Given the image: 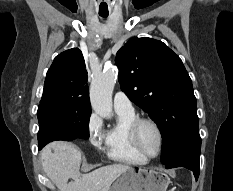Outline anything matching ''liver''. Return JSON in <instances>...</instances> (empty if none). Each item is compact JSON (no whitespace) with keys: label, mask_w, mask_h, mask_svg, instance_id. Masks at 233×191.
Returning <instances> with one entry per match:
<instances>
[{"label":"liver","mask_w":233,"mask_h":191,"mask_svg":"<svg viewBox=\"0 0 233 191\" xmlns=\"http://www.w3.org/2000/svg\"><path fill=\"white\" fill-rule=\"evenodd\" d=\"M40 159L44 172L59 191H102L129 168L124 164H112L81 174L80 149L64 141L46 145L40 153ZM69 179L72 181L68 182Z\"/></svg>","instance_id":"6515ba94"}]
</instances>
